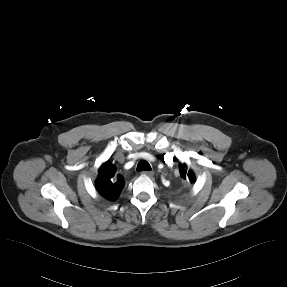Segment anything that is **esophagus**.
<instances>
[{
  "instance_id": "obj_1",
  "label": "esophagus",
  "mask_w": 287,
  "mask_h": 287,
  "mask_svg": "<svg viewBox=\"0 0 287 287\" xmlns=\"http://www.w3.org/2000/svg\"><path fill=\"white\" fill-rule=\"evenodd\" d=\"M143 174L148 177H152L154 175L153 171H143Z\"/></svg>"
}]
</instances>
